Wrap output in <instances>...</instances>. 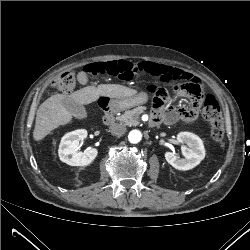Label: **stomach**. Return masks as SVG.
<instances>
[{
	"mask_svg": "<svg viewBox=\"0 0 250 250\" xmlns=\"http://www.w3.org/2000/svg\"><path fill=\"white\" fill-rule=\"evenodd\" d=\"M148 101V95L140 92L133 96L118 98L113 101L114 105L119 109L131 108L137 105L145 104Z\"/></svg>",
	"mask_w": 250,
	"mask_h": 250,
	"instance_id": "obj_1",
	"label": "stomach"
}]
</instances>
